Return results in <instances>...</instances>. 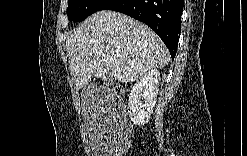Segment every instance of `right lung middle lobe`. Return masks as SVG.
Segmentation results:
<instances>
[{"label": "right lung middle lobe", "mask_w": 247, "mask_h": 156, "mask_svg": "<svg viewBox=\"0 0 247 156\" xmlns=\"http://www.w3.org/2000/svg\"><path fill=\"white\" fill-rule=\"evenodd\" d=\"M108 0H69L67 15L70 21H83L97 12Z\"/></svg>", "instance_id": "1"}]
</instances>
